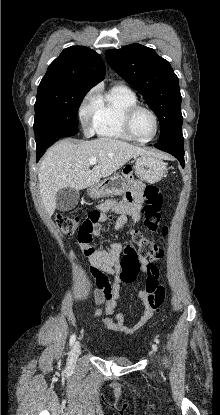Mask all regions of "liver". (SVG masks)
<instances>
[{
    "mask_svg": "<svg viewBox=\"0 0 220 415\" xmlns=\"http://www.w3.org/2000/svg\"><path fill=\"white\" fill-rule=\"evenodd\" d=\"M153 155L152 152L125 141L101 137L73 143L63 140L43 157L38 172L42 202L49 216L56 209V194L63 188L82 190L116 172L131 158ZM97 164L90 169L89 159Z\"/></svg>",
    "mask_w": 220,
    "mask_h": 415,
    "instance_id": "liver-1",
    "label": "liver"
}]
</instances>
